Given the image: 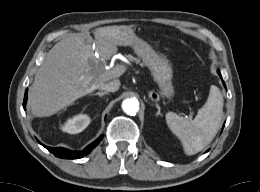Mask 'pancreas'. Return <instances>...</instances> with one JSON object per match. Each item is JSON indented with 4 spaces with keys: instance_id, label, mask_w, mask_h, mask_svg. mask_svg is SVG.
<instances>
[{
    "instance_id": "1",
    "label": "pancreas",
    "mask_w": 260,
    "mask_h": 192,
    "mask_svg": "<svg viewBox=\"0 0 260 192\" xmlns=\"http://www.w3.org/2000/svg\"><path fill=\"white\" fill-rule=\"evenodd\" d=\"M128 58H129V60H131V61H135L136 63H139L140 62V60L139 59H137V58H134L133 56H131V55H129L128 56Z\"/></svg>"
}]
</instances>
